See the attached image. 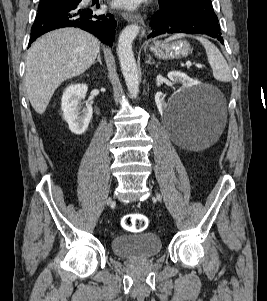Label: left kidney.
Returning a JSON list of instances; mask_svg holds the SVG:
<instances>
[{
	"mask_svg": "<svg viewBox=\"0 0 267 301\" xmlns=\"http://www.w3.org/2000/svg\"><path fill=\"white\" fill-rule=\"evenodd\" d=\"M168 78L173 82H180L183 85V88H190L194 85L198 84L197 82L193 81L190 77L186 74L181 73L179 71H171L168 73ZM155 102L158 108L166 107V103L161 98V94H157L155 96Z\"/></svg>",
	"mask_w": 267,
	"mask_h": 301,
	"instance_id": "1",
	"label": "left kidney"
}]
</instances>
